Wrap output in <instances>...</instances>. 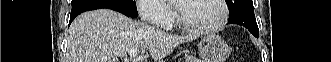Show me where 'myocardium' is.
I'll list each match as a JSON object with an SVG mask.
<instances>
[{
  "label": "myocardium",
  "mask_w": 331,
  "mask_h": 62,
  "mask_svg": "<svg viewBox=\"0 0 331 62\" xmlns=\"http://www.w3.org/2000/svg\"><path fill=\"white\" fill-rule=\"evenodd\" d=\"M216 1L221 6L222 15H221L220 20L215 25L210 26V27H199V26H193V25L188 24L182 15L180 4L176 3L175 8L177 11L178 25L188 32L197 33V34H207V33H213V32H217V31L221 30L228 21L229 11H228V6H227V3L225 0H216Z\"/></svg>",
  "instance_id": "obj_1"
}]
</instances>
